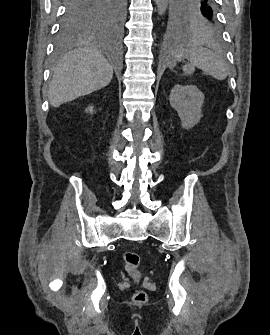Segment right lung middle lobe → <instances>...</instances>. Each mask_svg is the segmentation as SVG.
<instances>
[{"label":"right lung middle lobe","mask_w":270,"mask_h":335,"mask_svg":"<svg viewBox=\"0 0 270 335\" xmlns=\"http://www.w3.org/2000/svg\"><path fill=\"white\" fill-rule=\"evenodd\" d=\"M126 0H67L57 37L63 45L80 33L99 27L119 30L126 12Z\"/></svg>","instance_id":"obj_1"}]
</instances>
